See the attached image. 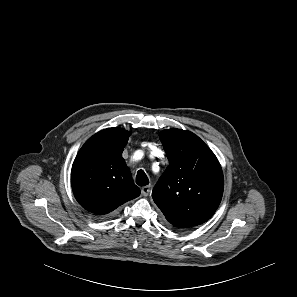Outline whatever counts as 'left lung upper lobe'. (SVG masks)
<instances>
[{"mask_svg": "<svg viewBox=\"0 0 297 297\" xmlns=\"http://www.w3.org/2000/svg\"><path fill=\"white\" fill-rule=\"evenodd\" d=\"M169 165L152 191L167 221L178 228L206 222L223 195V172L210 148L195 134L181 129L160 132Z\"/></svg>", "mask_w": 297, "mask_h": 297, "instance_id": "obj_1", "label": "left lung upper lobe"}]
</instances>
